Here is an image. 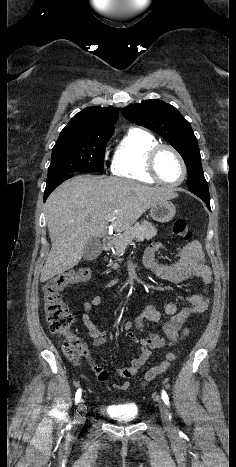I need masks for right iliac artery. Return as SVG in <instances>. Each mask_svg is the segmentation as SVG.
<instances>
[{"mask_svg": "<svg viewBox=\"0 0 236 467\" xmlns=\"http://www.w3.org/2000/svg\"><path fill=\"white\" fill-rule=\"evenodd\" d=\"M82 390L79 388L75 394V404H78L81 399Z\"/></svg>", "mask_w": 236, "mask_h": 467, "instance_id": "1", "label": "right iliac artery"}]
</instances>
